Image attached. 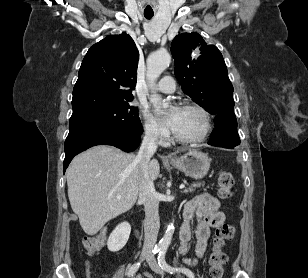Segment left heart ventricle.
Listing matches in <instances>:
<instances>
[{
  "label": "left heart ventricle",
  "mask_w": 308,
  "mask_h": 278,
  "mask_svg": "<svg viewBox=\"0 0 308 278\" xmlns=\"http://www.w3.org/2000/svg\"><path fill=\"white\" fill-rule=\"evenodd\" d=\"M203 128L204 120L197 111L181 109L174 132L184 137H195L203 131Z\"/></svg>",
  "instance_id": "obj_1"
}]
</instances>
